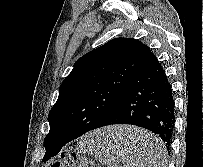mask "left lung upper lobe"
Masks as SVG:
<instances>
[{"label": "left lung upper lobe", "mask_w": 203, "mask_h": 167, "mask_svg": "<svg viewBox=\"0 0 203 167\" xmlns=\"http://www.w3.org/2000/svg\"><path fill=\"white\" fill-rule=\"evenodd\" d=\"M151 56L150 48L139 40L115 38L79 58L50 110V131L44 139L46 154L59 141L68 143L99 128ZM46 154L45 161L49 159Z\"/></svg>", "instance_id": "left-lung-upper-lobe-1"}]
</instances>
